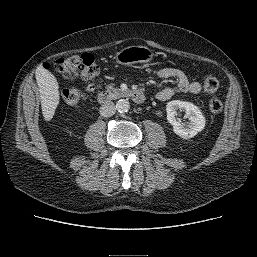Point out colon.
I'll return each instance as SVG.
<instances>
[{"label":"colon","instance_id":"1","mask_svg":"<svg viewBox=\"0 0 257 257\" xmlns=\"http://www.w3.org/2000/svg\"><path fill=\"white\" fill-rule=\"evenodd\" d=\"M54 69L65 77L77 74L89 82L87 90L89 92L97 87L98 67L94 57L89 53L72 55L57 59L53 64ZM204 91L208 94L215 93L219 88V82L215 77L209 76L204 80ZM63 100L70 105H77L86 99V93L75 88L65 89L62 92ZM223 109V103L218 97H212L209 101L210 112L216 114Z\"/></svg>","mask_w":257,"mask_h":257}]
</instances>
